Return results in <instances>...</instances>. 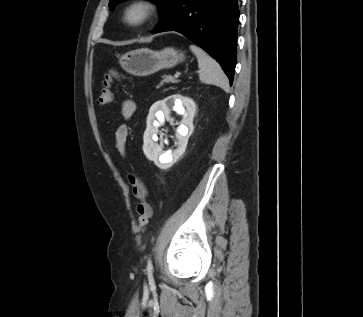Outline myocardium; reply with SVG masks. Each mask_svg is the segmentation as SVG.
<instances>
[{"mask_svg": "<svg viewBox=\"0 0 363 317\" xmlns=\"http://www.w3.org/2000/svg\"><path fill=\"white\" fill-rule=\"evenodd\" d=\"M159 14V6L153 0H132L122 12V22L129 28H139L150 23Z\"/></svg>", "mask_w": 363, "mask_h": 317, "instance_id": "obj_1", "label": "myocardium"}]
</instances>
